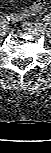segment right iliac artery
<instances>
[{
  "label": "right iliac artery",
  "instance_id": "obj_1",
  "mask_svg": "<svg viewBox=\"0 0 51 153\" xmlns=\"http://www.w3.org/2000/svg\"><path fill=\"white\" fill-rule=\"evenodd\" d=\"M0 20H1V25H6L9 23V18L6 14H3Z\"/></svg>",
  "mask_w": 51,
  "mask_h": 153
}]
</instances>
